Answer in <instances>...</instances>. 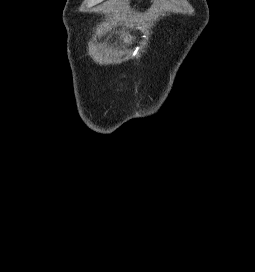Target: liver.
<instances>
[{
	"label": "liver",
	"mask_w": 255,
	"mask_h": 272,
	"mask_svg": "<svg viewBox=\"0 0 255 272\" xmlns=\"http://www.w3.org/2000/svg\"><path fill=\"white\" fill-rule=\"evenodd\" d=\"M129 40H131V37L130 38H128V37L125 38V41H129Z\"/></svg>",
	"instance_id": "liver-1"
}]
</instances>
